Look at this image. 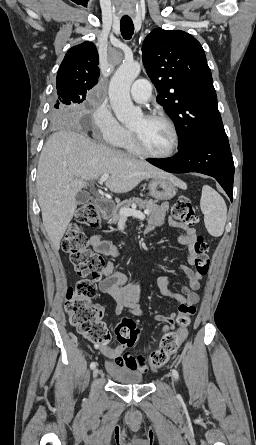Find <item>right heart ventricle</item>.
Masks as SVG:
<instances>
[{
    "mask_svg": "<svg viewBox=\"0 0 256 445\" xmlns=\"http://www.w3.org/2000/svg\"><path fill=\"white\" fill-rule=\"evenodd\" d=\"M116 146H120L121 148L125 149L127 152H129L131 154H138L137 150L135 149V147L133 145L130 132H128V131H127V134L125 135V137L122 139V141Z\"/></svg>",
    "mask_w": 256,
    "mask_h": 445,
    "instance_id": "right-heart-ventricle-1",
    "label": "right heart ventricle"
}]
</instances>
